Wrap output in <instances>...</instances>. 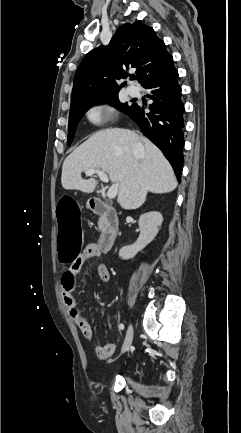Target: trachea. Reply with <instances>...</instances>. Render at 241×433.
<instances>
[{
    "mask_svg": "<svg viewBox=\"0 0 241 433\" xmlns=\"http://www.w3.org/2000/svg\"><path fill=\"white\" fill-rule=\"evenodd\" d=\"M136 78H137L136 76H133V77H132L133 80H135Z\"/></svg>",
    "mask_w": 241,
    "mask_h": 433,
    "instance_id": "3493384b",
    "label": "trachea"
}]
</instances>
